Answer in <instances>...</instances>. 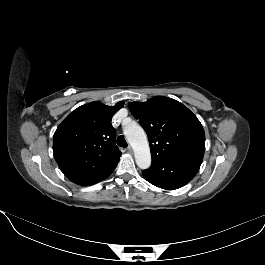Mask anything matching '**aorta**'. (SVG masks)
<instances>
[{
  "label": "aorta",
  "mask_w": 265,
  "mask_h": 265,
  "mask_svg": "<svg viewBox=\"0 0 265 265\" xmlns=\"http://www.w3.org/2000/svg\"><path fill=\"white\" fill-rule=\"evenodd\" d=\"M123 133L134 150L135 161L139 168L148 169L151 165V154L145 131L135 122L123 129Z\"/></svg>",
  "instance_id": "obj_1"
}]
</instances>
